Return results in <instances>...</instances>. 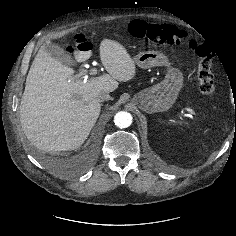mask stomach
<instances>
[{
	"instance_id": "0dacf381",
	"label": "stomach",
	"mask_w": 236,
	"mask_h": 236,
	"mask_svg": "<svg viewBox=\"0 0 236 236\" xmlns=\"http://www.w3.org/2000/svg\"><path fill=\"white\" fill-rule=\"evenodd\" d=\"M135 62L144 69L154 66H166L168 69L165 78L160 83L137 93L134 96V102L147 113L170 109L183 85L181 70L173 67L168 56L160 51L141 52L136 56Z\"/></svg>"
}]
</instances>
